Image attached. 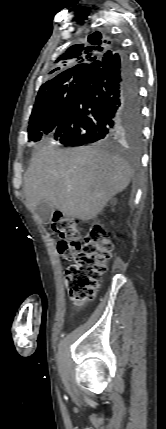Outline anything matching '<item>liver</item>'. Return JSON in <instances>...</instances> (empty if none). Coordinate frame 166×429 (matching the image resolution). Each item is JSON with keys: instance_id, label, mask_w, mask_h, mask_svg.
Instances as JSON below:
<instances>
[{"instance_id": "obj_1", "label": "liver", "mask_w": 166, "mask_h": 429, "mask_svg": "<svg viewBox=\"0 0 166 429\" xmlns=\"http://www.w3.org/2000/svg\"><path fill=\"white\" fill-rule=\"evenodd\" d=\"M132 171L121 157L98 146L42 147L24 176L26 205L47 202L64 215L89 221L130 183Z\"/></svg>"}]
</instances>
